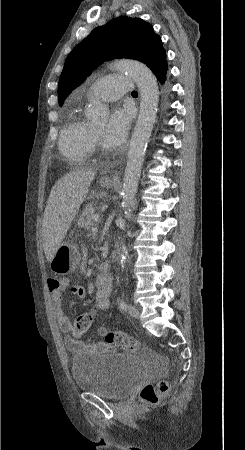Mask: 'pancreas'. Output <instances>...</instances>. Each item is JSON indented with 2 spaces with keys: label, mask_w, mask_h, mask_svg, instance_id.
Here are the masks:
<instances>
[{
  "label": "pancreas",
  "mask_w": 245,
  "mask_h": 450,
  "mask_svg": "<svg viewBox=\"0 0 245 450\" xmlns=\"http://www.w3.org/2000/svg\"><path fill=\"white\" fill-rule=\"evenodd\" d=\"M95 208L87 207L79 217L78 226L85 230H90L94 225Z\"/></svg>",
  "instance_id": "obj_1"
}]
</instances>
